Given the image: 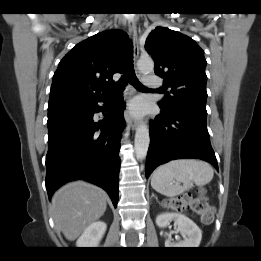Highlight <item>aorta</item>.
Instances as JSON below:
<instances>
[{
	"mask_svg": "<svg viewBox=\"0 0 261 261\" xmlns=\"http://www.w3.org/2000/svg\"><path fill=\"white\" fill-rule=\"evenodd\" d=\"M137 67L142 74L150 73L154 69V62L150 57H141L137 62ZM150 144L148 126L140 124L135 133L134 148L137 159H144L147 155Z\"/></svg>",
	"mask_w": 261,
	"mask_h": 261,
	"instance_id": "1",
	"label": "aorta"
}]
</instances>
